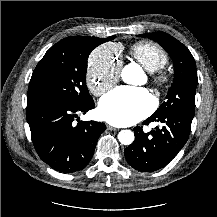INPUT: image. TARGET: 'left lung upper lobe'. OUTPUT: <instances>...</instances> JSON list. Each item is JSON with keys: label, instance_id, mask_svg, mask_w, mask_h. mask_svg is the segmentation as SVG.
<instances>
[{"label": "left lung upper lobe", "instance_id": "5c2ea615", "mask_svg": "<svg viewBox=\"0 0 217 217\" xmlns=\"http://www.w3.org/2000/svg\"><path fill=\"white\" fill-rule=\"evenodd\" d=\"M158 42L169 54L174 65V80L167 100L152 116L182 112L194 116L195 93L198 84L195 60L186 46L164 32L138 35Z\"/></svg>", "mask_w": 217, "mask_h": 217}]
</instances>
